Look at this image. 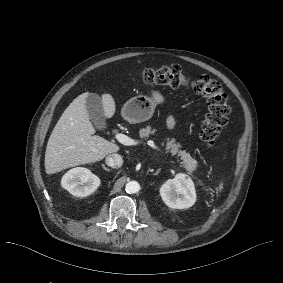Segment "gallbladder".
Listing matches in <instances>:
<instances>
[{"label": "gallbladder", "instance_id": "obj_1", "mask_svg": "<svg viewBox=\"0 0 283 283\" xmlns=\"http://www.w3.org/2000/svg\"><path fill=\"white\" fill-rule=\"evenodd\" d=\"M86 109L89 118L94 123V125L99 129H103L106 125V119L102 99L98 94H88V97L86 98Z\"/></svg>", "mask_w": 283, "mask_h": 283}]
</instances>
